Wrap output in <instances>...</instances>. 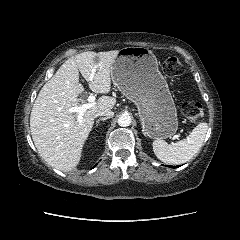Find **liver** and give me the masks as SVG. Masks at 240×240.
Here are the masks:
<instances>
[{
  "label": "liver",
  "mask_w": 240,
  "mask_h": 240,
  "mask_svg": "<svg viewBox=\"0 0 240 240\" xmlns=\"http://www.w3.org/2000/svg\"><path fill=\"white\" fill-rule=\"evenodd\" d=\"M118 54L119 50L87 51L70 57L40 90L31 111L30 129L35 147L50 166L64 172L73 170L81 160L95 114L113 109L116 99L104 95L84 112L81 121L78 113L68 112L69 108L78 106V96L84 91L79 72L91 91L110 92L112 64Z\"/></svg>",
  "instance_id": "obj_1"
}]
</instances>
